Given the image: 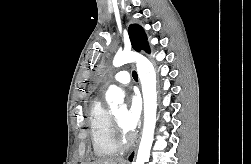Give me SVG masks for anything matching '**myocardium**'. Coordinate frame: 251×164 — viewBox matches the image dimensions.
Wrapping results in <instances>:
<instances>
[{
    "label": "myocardium",
    "mask_w": 251,
    "mask_h": 164,
    "mask_svg": "<svg viewBox=\"0 0 251 164\" xmlns=\"http://www.w3.org/2000/svg\"><path fill=\"white\" fill-rule=\"evenodd\" d=\"M114 128L115 141L119 148L128 147L132 141L131 137L123 130L113 115H111Z\"/></svg>",
    "instance_id": "1"
}]
</instances>
